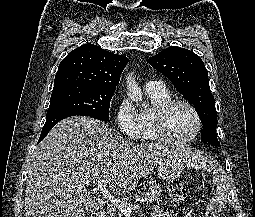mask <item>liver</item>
<instances>
[{
	"mask_svg": "<svg viewBox=\"0 0 255 217\" xmlns=\"http://www.w3.org/2000/svg\"><path fill=\"white\" fill-rule=\"evenodd\" d=\"M191 159L198 152L176 147ZM169 148L134 144L109 125L84 116L59 122L36 148L25 190L26 217H84L92 207L84 179H106L117 193L133 190Z\"/></svg>",
	"mask_w": 255,
	"mask_h": 217,
	"instance_id": "obj_1",
	"label": "liver"
}]
</instances>
